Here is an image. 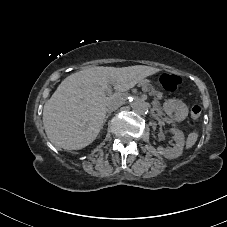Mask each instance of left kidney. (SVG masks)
Instances as JSON below:
<instances>
[{
    "label": "left kidney",
    "instance_id": "left-kidney-1",
    "mask_svg": "<svg viewBox=\"0 0 227 227\" xmlns=\"http://www.w3.org/2000/svg\"><path fill=\"white\" fill-rule=\"evenodd\" d=\"M170 133L173 134L175 138L174 146L167 150L163 149L162 147H159L157 151L164 158L174 159L179 157L182 154L185 138H184L183 132L178 129L171 128Z\"/></svg>",
    "mask_w": 227,
    "mask_h": 227
}]
</instances>
